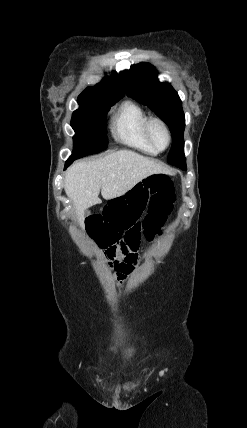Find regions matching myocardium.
<instances>
[{
	"label": "myocardium",
	"instance_id": "obj_1",
	"mask_svg": "<svg viewBox=\"0 0 247 428\" xmlns=\"http://www.w3.org/2000/svg\"><path fill=\"white\" fill-rule=\"evenodd\" d=\"M154 126L161 127L167 136V143L164 147H159L153 138L152 129ZM144 130H145V135H146L147 140L158 152L164 151L170 146V144L172 142L171 131H170L168 125L165 123V121L162 120L161 118L149 117L145 122Z\"/></svg>",
	"mask_w": 247,
	"mask_h": 428
}]
</instances>
